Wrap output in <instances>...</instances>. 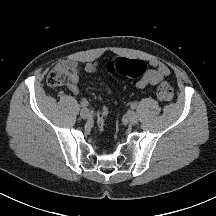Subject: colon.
Listing matches in <instances>:
<instances>
[{
  "label": "colon",
  "instance_id": "colon-1",
  "mask_svg": "<svg viewBox=\"0 0 216 216\" xmlns=\"http://www.w3.org/2000/svg\"><path fill=\"white\" fill-rule=\"evenodd\" d=\"M107 68L110 73L129 76L139 77L142 76L146 70L145 62L141 60H131L127 58H114L112 59ZM68 78V71L64 64L56 65L48 75L47 82L52 87L63 86ZM157 97L163 102H170L173 98V90L171 86L166 82H161L157 86ZM109 107L103 106L97 113V123L100 128L106 126L109 117Z\"/></svg>",
  "mask_w": 216,
  "mask_h": 216
}]
</instances>
